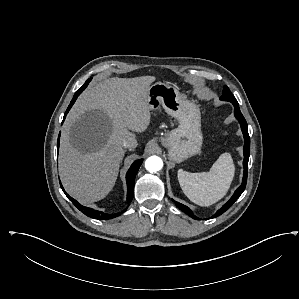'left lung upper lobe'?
I'll use <instances>...</instances> for the list:
<instances>
[{
	"instance_id": "5c2ea615",
	"label": "left lung upper lobe",
	"mask_w": 299,
	"mask_h": 299,
	"mask_svg": "<svg viewBox=\"0 0 299 299\" xmlns=\"http://www.w3.org/2000/svg\"><path fill=\"white\" fill-rule=\"evenodd\" d=\"M220 99L224 100V101H229V102L237 101L236 98L234 97V95L231 93V91L229 90V88L226 85L224 86L223 94L220 97Z\"/></svg>"
}]
</instances>
